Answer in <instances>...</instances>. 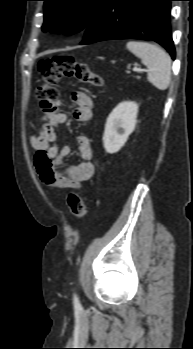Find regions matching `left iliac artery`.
Instances as JSON below:
<instances>
[{
  "mask_svg": "<svg viewBox=\"0 0 193 349\" xmlns=\"http://www.w3.org/2000/svg\"><path fill=\"white\" fill-rule=\"evenodd\" d=\"M73 303H74L75 307H81L79 298H78V296L76 294H74V296H73Z\"/></svg>",
  "mask_w": 193,
  "mask_h": 349,
  "instance_id": "1",
  "label": "left iliac artery"
}]
</instances>
